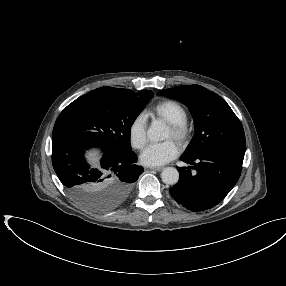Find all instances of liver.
<instances>
[{
    "label": "liver",
    "instance_id": "obj_1",
    "mask_svg": "<svg viewBox=\"0 0 286 286\" xmlns=\"http://www.w3.org/2000/svg\"><path fill=\"white\" fill-rule=\"evenodd\" d=\"M89 159L97 162L98 158L94 154H89Z\"/></svg>",
    "mask_w": 286,
    "mask_h": 286
}]
</instances>
